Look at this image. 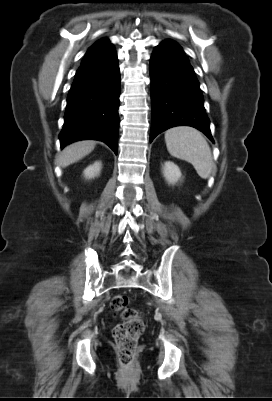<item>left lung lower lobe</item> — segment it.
<instances>
[{
    "instance_id": "1",
    "label": "left lung lower lobe",
    "mask_w": 272,
    "mask_h": 401,
    "mask_svg": "<svg viewBox=\"0 0 272 401\" xmlns=\"http://www.w3.org/2000/svg\"><path fill=\"white\" fill-rule=\"evenodd\" d=\"M152 127L150 141L179 125L202 131L213 143L209 118L194 70L173 40L155 47L150 60Z\"/></svg>"
}]
</instances>
